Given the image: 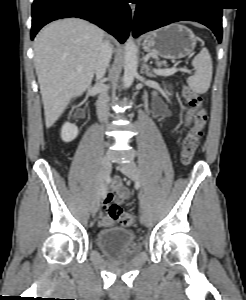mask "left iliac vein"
Wrapping results in <instances>:
<instances>
[{
    "label": "left iliac vein",
    "instance_id": "4c4485c4",
    "mask_svg": "<svg viewBox=\"0 0 246 300\" xmlns=\"http://www.w3.org/2000/svg\"><path fill=\"white\" fill-rule=\"evenodd\" d=\"M119 169L124 175H126L132 181L135 182L141 181L140 171L134 162L120 164ZM140 201H141V208H140L141 222L143 223V225L149 227L152 224V215L146 200V195L144 193L141 194Z\"/></svg>",
    "mask_w": 246,
    "mask_h": 300
}]
</instances>
